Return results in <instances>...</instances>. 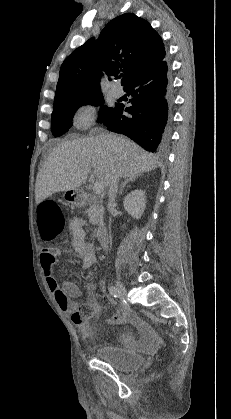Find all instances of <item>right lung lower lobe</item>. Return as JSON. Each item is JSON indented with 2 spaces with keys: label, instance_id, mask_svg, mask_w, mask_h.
Listing matches in <instances>:
<instances>
[{
  "label": "right lung lower lobe",
  "instance_id": "98d812e1",
  "mask_svg": "<svg viewBox=\"0 0 231 419\" xmlns=\"http://www.w3.org/2000/svg\"><path fill=\"white\" fill-rule=\"evenodd\" d=\"M162 60L133 79L124 90L132 96L130 107L116 104L101 121L110 131L124 134L146 150L161 152L169 139L172 90ZM123 111L129 115H123Z\"/></svg>",
  "mask_w": 231,
  "mask_h": 419
}]
</instances>
